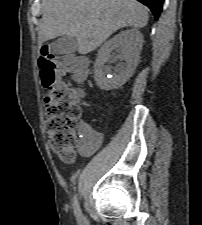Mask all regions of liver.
Here are the masks:
<instances>
[{
	"instance_id": "obj_1",
	"label": "liver",
	"mask_w": 202,
	"mask_h": 225,
	"mask_svg": "<svg viewBox=\"0 0 202 225\" xmlns=\"http://www.w3.org/2000/svg\"><path fill=\"white\" fill-rule=\"evenodd\" d=\"M39 45L58 36L77 40L79 54L99 47L120 28H143L147 9L136 0H43Z\"/></svg>"
}]
</instances>
